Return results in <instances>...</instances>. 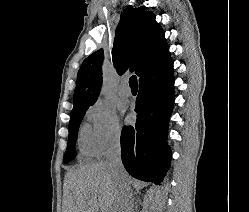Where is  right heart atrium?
<instances>
[{
    "label": "right heart atrium",
    "instance_id": "1",
    "mask_svg": "<svg viewBox=\"0 0 249 212\" xmlns=\"http://www.w3.org/2000/svg\"><path fill=\"white\" fill-rule=\"evenodd\" d=\"M87 140L96 157H104L119 147L122 130L115 111L102 102H94L85 111Z\"/></svg>",
    "mask_w": 249,
    "mask_h": 212
}]
</instances>
